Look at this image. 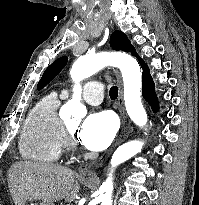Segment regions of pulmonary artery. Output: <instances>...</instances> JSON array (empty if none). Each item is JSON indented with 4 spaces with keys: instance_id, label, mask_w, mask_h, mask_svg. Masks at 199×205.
Instances as JSON below:
<instances>
[{
    "instance_id": "1",
    "label": "pulmonary artery",
    "mask_w": 199,
    "mask_h": 205,
    "mask_svg": "<svg viewBox=\"0 0 199 205\" xmlns=\"http://www.w3.org/2000/svg\"><path fill=\"white\" fill-rule=\"evenodd\" d=\"M104 87L99 81H89L83 88V99L85 102L91 105H98L103 100ZM63 97L68 96L67 91L62 92Z\"/></svg>"
}]
</instances>
